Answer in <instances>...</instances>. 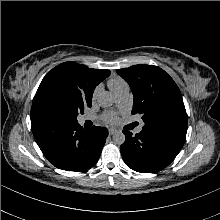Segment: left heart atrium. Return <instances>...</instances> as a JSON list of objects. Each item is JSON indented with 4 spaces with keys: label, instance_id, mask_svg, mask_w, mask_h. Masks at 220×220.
I'll list each match as a JSON object with an SVG mask.
<instances>
[{
    "label": "left heart atrium",
    "instance_id": "1",
    "mask_svg": "<svg viewBox=\"0 0 220 220\" xmlns=\"http://www.w3.org/2000/svg\"><path fill=\"white\" fill-rule=\"evenodd\" d=\"M103 119L107 123H115L118 120V117L114 112H107L103 115Z\"/></svg>",
    "mask_w": 220,
    "mask_h": 220
}]
</instances>
